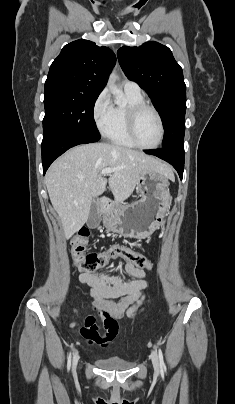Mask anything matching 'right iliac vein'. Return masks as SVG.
<instances>
[{"mask_svg": "<svg viewBox=\"0 0 235 404\" xmlns=\"http://www.w3.org/2000/svg\"><path fill=\"white\" fill-rule=\"evenodd\" d=\"M78 360H79V355H78V353L76 352L75 355H74V359H73V372H75V369H76Z\"/></svg>", "mask_w": 235, "mask_h": 404, "instance_id": "obj_1", "label": "right iliac vein"}]
</instances>
